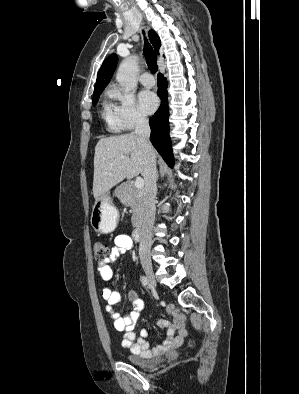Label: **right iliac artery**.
<instances>
[{
	"mask_svg": "<svg viewBox=\"0 0 299 394\" xmlns=\"http://www.w3.org/2000/svg\"><path fill=\"white\" fill-rule=\"evenodd\" d=\"M141 281H142L143 286H147L148 281H147V278H146L145 276H143V277L141 278Z\"/></svg>",
	"mask_w": 299,
	"mask_h": 394,
	"instance_id": "right-iliac-artery-1",
	"label": "right iliac artery"
}]
</instances>
